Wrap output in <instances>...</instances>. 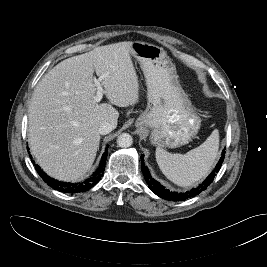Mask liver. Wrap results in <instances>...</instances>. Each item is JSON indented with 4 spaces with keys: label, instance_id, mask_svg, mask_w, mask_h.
<instances>
[{
    "label": "liver",
    "instance_id": "6515ba94",
    "mask_svg": "<svg viewBox=\"0 0 267 267\" xmlns=\"http://www.w3.org/2000/svg\"><path fill=\"white\" fill-rule=\"evenodd\" d=\"M131 47L132 42H119L65 59L38 82L28 108V141L37 163L51 177L68 182L82 178L95 160L100 125L117 126L119 112L94 101V71L112 104L138 102Z\"/></svg>",
    "mask_w": 267,
    "mask_h": 267
}]
</instances>
